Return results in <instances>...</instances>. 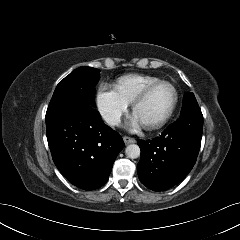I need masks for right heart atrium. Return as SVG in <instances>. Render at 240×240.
Segmentation results:
<instances>
[{
    "instance_id": "obj_1",
    "label": "right heart atrium",
    "mask_w": 240,
    "mask_h": 240,
    "mask_svg": "<svg viewBox=\"0 0 240 240\" xmlns=\"http://www.w3.org/2000/svg\"><path fill=\"white\" fill-rule=\"evenodd\" d=\"M97 106L103 119L110 126H118L128 111V103L108 85L100 86L97 93Z\"/></svg>"
}]
</instances>
